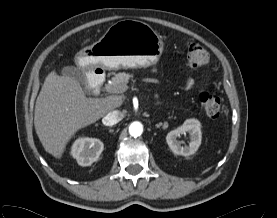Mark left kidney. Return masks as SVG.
Returning <instances> with one entry per match:
<instances>
[{
  "label": "left kidney",
  "mask_w": 277,
  "mask_h": 218,
  "mask_svg": "<svg viewBox=\"0 0 277 218\" xmlns=\"http://www.w3.org/2000/svg\"><path fill=\"white\" fill-rule=\"evenodd\" d=\"M200 126V122L197 119H187L183 125L170 131L166 136V141L172 152L182 156L193 155L201 144L202 136ZM186 132L190 135L189 145L181 146V143L177 138Z\"/></svg>",
  "instance_id": "left-kidney-1"
}]
</instances>
